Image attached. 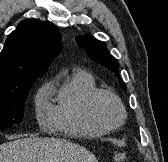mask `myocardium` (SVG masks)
Returning <instances> with one entry per match:
<instances>
[{"label":"myocardium","mask_w":168,"mask_h":162,"mask_svg":"<svg viewBox=\"0 0 168 162\" xmlns=\"http://www.w3.org/2000/svg\"><path fill=\"white\" fill-rule=\"evenodd\" d=\"M102 96H107L113 99L119 108L120 118H119V121L114 125H108L107 123H105L97 113V109H96L97 101ZM86 110L92 122H94L96 125L104 129L105 131H113L120 128L126 120L125 106L122 100L120 99V97L111 90H107V89L95 90L87 99Z\"/></svg>","instance_id":"myocardium-1"}]
</instances>
